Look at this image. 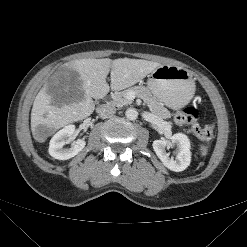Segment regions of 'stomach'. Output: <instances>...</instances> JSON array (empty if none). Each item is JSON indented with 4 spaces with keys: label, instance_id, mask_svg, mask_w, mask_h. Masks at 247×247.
I'll list each match as a JSON object with an SVG mask.
<instances>
[{
    "label": "stomach",
    "instance_id": "stomach-1",
    "mask_svg": "<svg viewBox=\"0 0 247 247\" xmlns=\"http://www.w3.org/2000/svg\"><path fill=\"white\" fill-rule=\"evenodd\" d=\"M147 87L160 102L172 109L184 107L195 91L190 72L173 65H160L154 69L148 75Z\"/></svg>",
    "mask_w": 247,
    "mask_h": 247
}]
</instances>
